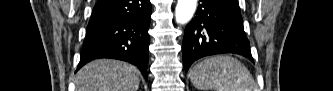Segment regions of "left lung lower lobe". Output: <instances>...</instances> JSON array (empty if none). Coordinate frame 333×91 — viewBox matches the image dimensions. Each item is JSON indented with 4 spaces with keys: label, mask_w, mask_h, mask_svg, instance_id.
Instances as JSON below:
<instances>
[{
    "label": "left lung lower lobe",
    "mask_w": 333,
    "mask_h": 91,
    "mask_svg": "<svg viewBox=\"0 0 333 91\" xmlns=\"http://www.w3.org/2000/svg\"><path fill=\"white\" fill-rule=\"evenodd\" d=\"M185 71L202 57L236 53L253 61L238 0H201L183 38Z\"/></svg>",
    "instance_id": "obj_1"
}]
</instances>
